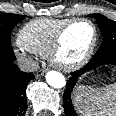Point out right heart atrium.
Listing matches in <instances>:
<instances>
[{"label": "right heart atrium", "instance_id": "d8ad5b80", "mask_svg": "<svg viewBox=\"0 0 116 116\" xmlns=\"http://www.w3.org/2000/svg\"><path fill=\"white\" fill-rule=\"evenodd\" d=\"M14 54L17 59L24 62L29 68H34L37 64V55L21 47L20 45L14 50Z\"/></svg>", "mask_w": 116, "mask_h": 116}]
</instances>
